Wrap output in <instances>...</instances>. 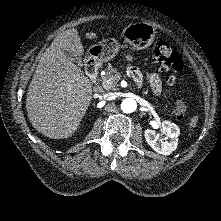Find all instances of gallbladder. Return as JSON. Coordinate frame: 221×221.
<instances>
[{
  "instance_id": "1",
  "label": "gallbladder",
  "mask_w": 221,
  "mask_h": 221,
  "mask_svg": "<svg viewBox=\"0 0 221 221\" xmlns=\"http://www.w3.org/2000/svg\"><path fill=\"white\" fill-rule=\"evenodd\" d=\"M65 54L69 59L74 60L79 66L82 65L81 57H75L69 51H66Z\"/></svg>"
}]
</instances>
